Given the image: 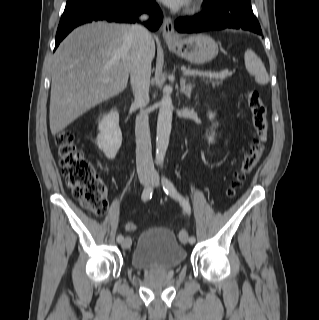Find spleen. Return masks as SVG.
I'll list each match as a JSON object with an SVG mask.
<instances>
[{"label": "spleen", "instance_id": "spleen-1", "mask_svg": "<svg viewBox=\"0 0 319 320\" xmlns=\"http://www.w3.org/2000/svg\"><path fill=\"white\" fill-rule=\"evenodd\" d=\"M244 61L247 71L254 76L259 85H266L269 82V76L263 62L253 50L248 49L245 52Z\"/></svg>", "mask_w": 319, "mask_h": 320}]
</instances>
